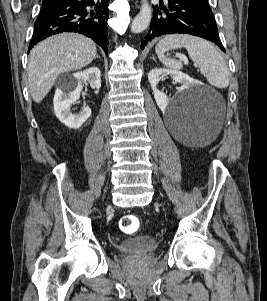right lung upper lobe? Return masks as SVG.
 <instances>
[{"instance_id":"right-lung-upper-lobe-1","label":"right lung upper lobe","mask_w":267,"mask_h":301,"mask_svg":"<svg viewBox=\"0 0 267 301\" xmlns=\"http://www.w3.org/2000/svg\"><path fill=\"white\" fill-rule=\"evenodd\" d=\"M57 0H43V4L44 5H48V4H51V3H54L56 2Z\"/></svg>"}]
</instances>
